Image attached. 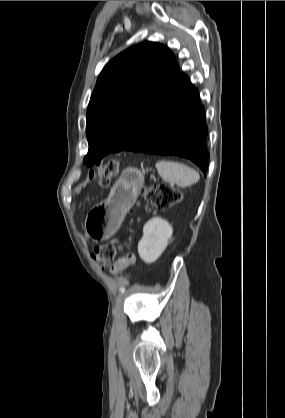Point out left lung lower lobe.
<instances>
[{
	"label": "left lung lower lobe",
	"instance_id": "0a47b994",
	"mask_svg": "<svg viewBox=\"0 0 285 418\" xmlns=\"http://www.w3.org/2000/svg\"><path fill=\"white\" fill-rule=\"evenodd\" d=\"M207 132L199 92L188 76L179 72L123 150L181 156L205 172L209 160Z\"/></svg>",
	"mask_w": 285,
	"mask_h": 418
}]
</instances>
